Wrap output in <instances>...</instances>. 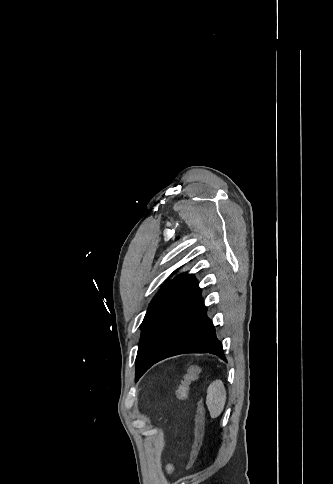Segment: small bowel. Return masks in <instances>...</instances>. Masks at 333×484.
Listing matches in <instances>:
<instances>
[{
  "label": "small bowel",
  "mask_w": 333,
  "mask_h": 484,
  "mask_svg": "<svg viewBox=\"0 0 333 484\" xmlns=\"http://www.w3.org/2000/svg\"><path fill=\"white\" fill-rule=\"evenodd\" d=\"M166 469H167V472H168V473H171V472L173 471V465H172L171 463H169V464L167 465Z\"/></svg>",
  "instance_id": "small-bowel-1"
}]
</instances>
